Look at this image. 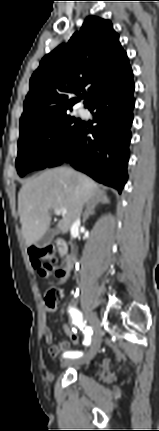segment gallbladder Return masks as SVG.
I'll return each mask as SVG.
<instances>
[{"instance_id":"1","label":"gallbladder","mask_w":159,"mask_h":431,"mask_svg":"<svg viewBox=\"0 0 159 431\" xmlns=\"http://www.w3.org/2000/svg\"><path fill=\"white\" fill-rule=\"evenodd\" d=\"M54 235H55V230L49 228L43 234V236L36 242V246L39 247V248H43V247L47 246L48 244H50V242L54 238Z\"/></svg>"}]
</instances>
